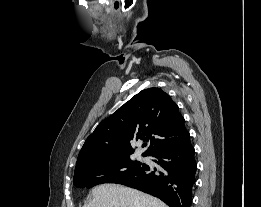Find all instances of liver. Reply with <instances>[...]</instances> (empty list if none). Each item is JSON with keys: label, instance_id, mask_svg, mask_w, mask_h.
I'll return each instance as SVG.
<instances>
[{"label": "liver", "instance_id": "liver-1", "mask_svg": "<svg viewBox=\"0 0 261 207\" xmlns=\"http://www.w3.org/2000/svg\"><path fill=\"white\" fill-rule=\"evenodd\" d=\"M93 199L84 207H168L161 200L118 184H102L92 189Z\"/></svg>", "mask_w": 261, "mask_h": 207}]
</instances>
